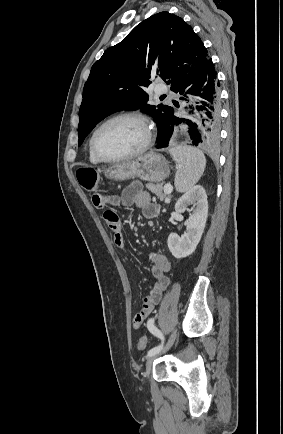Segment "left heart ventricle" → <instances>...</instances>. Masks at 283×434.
<instances>
[{
    "instance_id": "b2bd125f",
    "label": "left heart ventricle",
    "mask_w": 283,
    "mask_h": 434,
    "mask_svg": "<svg viewBox=\"0 0 283 434\" xmlns=\"http://www.w3.org/2000/svg\"><path fill=\"white\" fill-rule=\"evenodd\" d=\"M143 125L133 119L107 124L96 136V147L106 157H118L139 149L145 141Z\"/></svg>"
}]
</instances>
